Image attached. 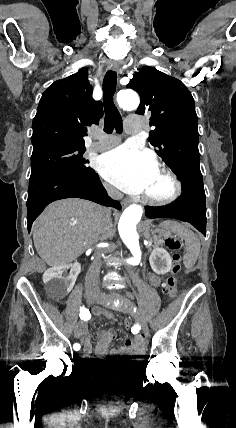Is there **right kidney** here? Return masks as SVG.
<instances>
[{"label":"right kidney","instance_id":"right-kidney-1","mask_svg":"<svg viewBox=\"0 0 236 428\" xmlns=\"http://www.w3.org/2000/svg\"><path fill=\"white\" fill-rule=\"evenodd\" d=\"M65 268H71L66 270ZM81 272V264L74 262L71 266H55V268H49L43 274L44 291L51 292V301H63L66 298V294L71 292L77 276ZM52 280V283H50Z\"/></svg>","mask_w":236,"mask_h":428}]
</instances>
